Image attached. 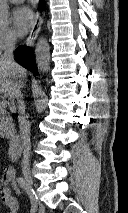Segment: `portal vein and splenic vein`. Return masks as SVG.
Instances as JSON below:
<instances>
[{"mask_svg":"<svg viewBox=\"0 0 128 213\" xmlns=\"http://www.w3.org/2000/svg\"><path fill=\"white\" fill-rule=\"evenodd\" d=\"M8 105V101L5 99L0 100V109H5Z\"/></svg>","mask_w":128,"mask_h":213,"instance_id":"obj_1","label":"portal vein and splenic vein"}]
</instances>
